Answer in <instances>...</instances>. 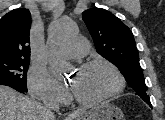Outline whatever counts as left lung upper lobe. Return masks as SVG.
Returning a JSON list of instances; mask_svg holds the SVG:
<instances>
[{"label":"left lung upper lobe","instance_id":"1","mask_svg":"<svg viewBox=\"0 0 165 120\" xmlns=\"http://www.w3.org/2000/svg\"><path fill=\"white\" fill-rule=\"evenodd\" d=\"M97 52L113 63L127 83L151 105L131 30L112 13L91 8L82 13Z\"/></svg>","mask_w":165,"mask_h":120}]
</instances>
